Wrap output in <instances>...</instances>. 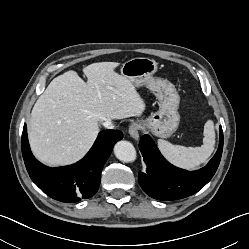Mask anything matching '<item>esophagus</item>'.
Returning <instances> with one entry per match:
<instances>
[{"instance_id": "obj_1", "label": "esophagus", "mask_w": 249, "mask_h": 249, "mask_svg": "<svg viewBox=\"0 0 249 249\" xmlns=\"http://www.w3.org/2000/svg\"><path fill=\"white\" fill-rule=\"evenodd\" d=\"M141 124L139 122H133L129 127V135L135 139L138 140L139 138V130H140Z\"/></svg>"}]
</instances>
